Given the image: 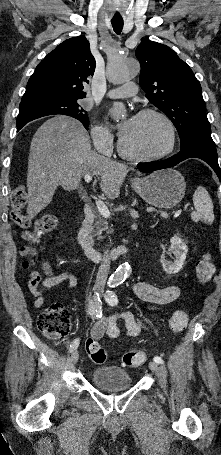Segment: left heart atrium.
Wrapping results in <instances>:
<instances>
[{"label":"left heart atrium","mask_w":221,"mask_h":455,"mask_svg":"<svg viewBox=\"0 0 221 455\" xmlns=\"http://www.w3.org/2000/svg\"><path fill=\"white\" fill-rule=\"evenodd\" d=\"M132 119L133 118H130L126 121H124L123 123L120 124L119 126V135L120 137H123L127 134V132L129 131L130 127H131V124H132Z\"/></svg>","instance_id":"left-heart-atrium-1"}]
</instances>
